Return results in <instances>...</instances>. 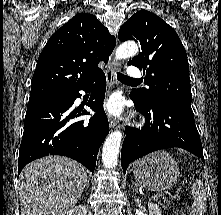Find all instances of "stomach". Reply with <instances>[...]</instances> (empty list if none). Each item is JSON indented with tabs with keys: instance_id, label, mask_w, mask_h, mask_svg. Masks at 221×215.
Segmentation results:
<instances>
[{
	"instance_id": "1",
	"label": "stomach",
	"mask_w": 221,
	"mask_h": 215,
	"mask_svg": "<svg viewBox=\"0 0 221 215\" xmlns=\"http://www.w3.org/2000/svg\"><path fill=\"white\" fill-rule=\"evenodd\" d=\"M133 175L149 190L163 191L177 180L179 168L168 152L160 150L137 161Z\"/></svg>"
}]
</instances>
